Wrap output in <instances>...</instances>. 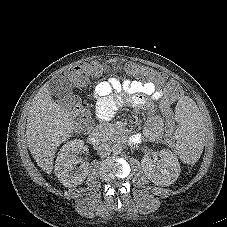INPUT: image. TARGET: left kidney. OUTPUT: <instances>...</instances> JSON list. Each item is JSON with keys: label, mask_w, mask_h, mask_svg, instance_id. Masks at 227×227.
Masks as SVG:
<instances>
[{"label": "left kidney", "mask_w": 227, "mask_h": 227, "mask_svg": "<svg viewBox=\"0 0 227 227\" xmlns=\"http://www.w3.org/2000/svg\"><path fill=\"white\" fill-rule=\"evenodd\" d=\"M160 160L157 162L151 159L144 160L145 175L155 184L169 186L180 175L181 168L177 157L169 150L159 151Z\"/></svg>", "instance_id": "1"}]
</instances>
